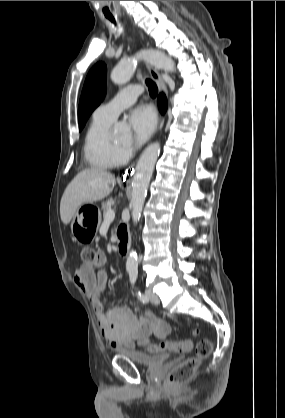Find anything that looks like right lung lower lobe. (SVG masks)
Masks as SVG:
<instances>
[{"mask_svg": "<svg viewBox=\"0 0 285 418\" xmlns=\"http://www.w3.org/2000/svg\"><path fill=\"white\" fill-rule=\"evenodd\" d=\"M158 104L162 113L167 109V100L164 94H160L158 97Z\"/></svg>", "mask_w": 285, "mask_h": 418, "instance_id": "98d812e1", "label": "right lung lower lobe"}]
</instances>
